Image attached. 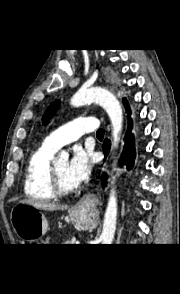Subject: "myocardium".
I'll return each mask as SVG.
<instances>
[{
  "mask_svg": "<svg viewBox=\"0 0 180 294\" xmlns=\"http://www.w3.org/2000/svg\"><path fill=\"white\" fill-rule=\"evenodd\" d=\"M50 189L56 196L66 197L71 196L77 193L78 188L74 189H65L59 179V176L57 174L55 163L51 164L50 167V183H49Z\"/></svg>",
  "mask_w": 180,
  "mask_h": 294,
  "instance_id": "f54148a6",
  "label": "myocardium"
}]
</instances>
